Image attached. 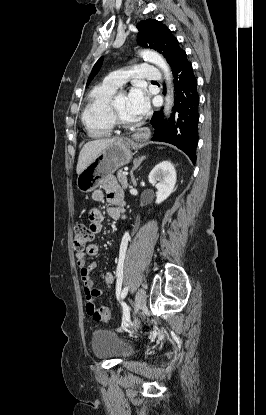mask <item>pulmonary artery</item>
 I'll list each match as a JSON object with an SVG mask.
<instances>
[{
    "instance_id": "e3ab8cb5",
    "label": "pulmonary artery",
    "mask_w": 266,
    "mask_h": 415,
    "mask_svg": "<svg viewBox=\"0 0 266 415\" xmlns=\"http://www.w3.org/2000/svg\"><path fill=\"white\" fill-rule=\"evenodd\" d=\"M131 73L148 81L161 79V73L156 67L144 63L136 65L133 71H114L104 79V82L115 87H120L126 82Z\"/></svg>"
}]
</instances>
